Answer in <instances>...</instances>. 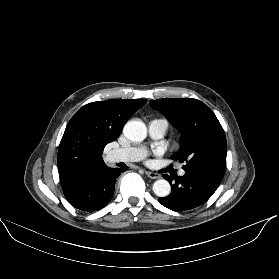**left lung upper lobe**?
<instances>
[{"label":"left lung upper lobe","mask_w":279,"mask_h":279,"mask_svg":"<svg viewBox=\"0 0 279 279\" xmlns=\"http://www.w3.org/2000/svg\"><path fill=\"white\" fill-rule=\"evenodd\" d=\"M149 103L181 133L180 149L172 159L185 161V171L202 174L220 184L226 170L227 142L213 111L193 98H165Z\"/></svg>","instance_id":"obj_1"}]
</instances>
